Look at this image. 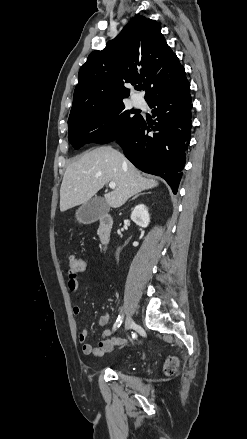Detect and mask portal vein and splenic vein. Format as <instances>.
<instances>
[{
	"instance_id": "18ae733b",
	"label": "portal vein and splenic vein",
	"mask_w": 247,
	"mask_h": 439,
	"mask_svg": "<svg viewBox=\"0 0 247 439\" xmlns=\"http://www.w3.org/2000/svg\"><path fill=\"white\" fill-rule=\"evenodd\" d=\"M109 187H110L111 189H115V188H116V184H115V182H110V183H109Z\"/></svg>"
}]
</instances>
